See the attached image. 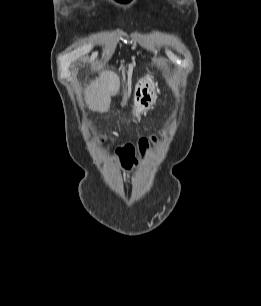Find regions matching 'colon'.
Segmentation results:
<instances>
[{"label": "colon", "instance_id": "obj_1", "mask_svg": "<svg viewBox=\"0 0 261 306\" xmlns=\"http://www.w3.org/2000/svg\"><path fill=\"white\" fill-rule=\"evenodd\" d=\"M158 140V135L141 137L137 143H125L116 149L121 164L125 169H130L147 156L151 146Z\"/></svg>", "mask_w": 261, "mask_h": 306}]
</instances>
